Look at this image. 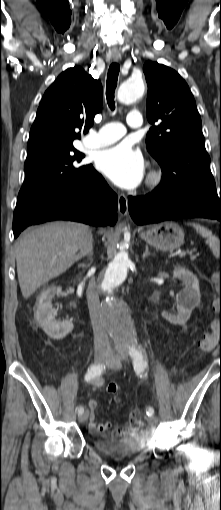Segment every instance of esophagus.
<instances>
[{
	"label": "esophagus",
	"instance_id": "34e87169",
	"mask_svg": "<svg viewBox=\"0 0 221 510\" xmlns=\"http://www.w3.org/2000/svg\"><path fill=\"white\" fill-rule=\"evenodd\" d=\"M112 57L114 61H118L121 56L119 52H114ZM118 212L122 217L126 216L128 212V200L124 194H120L118 197Z\"/></svg>",
	"mask_w": 221,
	"mask_h": 510
}]
</instances>
